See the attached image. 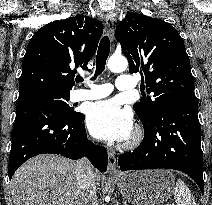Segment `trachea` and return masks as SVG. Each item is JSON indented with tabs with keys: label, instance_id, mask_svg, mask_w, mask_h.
<instances>
[{
	"label": "trachea",
	"instance_id": "obj_1",
	"mask_svg": "<svg viewBox=\"0 0 212 205\" xmlns=\"http://www.w3.org/2000/svg\"><path fill=\"white\" fill-rule=\"evenodd\" d=\"M109 52H110V40L108 36H104L99 44L96 56V72L92 79H95L98 75H100L104 71L106 60L109 56ZM82 81H83L82 77H76V82H82Z\"/></svg>",
	"mask_w": 212,
	"mask_h": 205
}]
</instances>
